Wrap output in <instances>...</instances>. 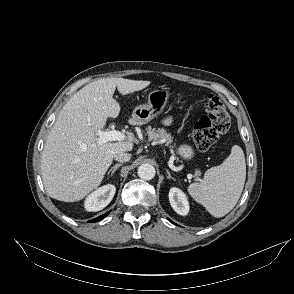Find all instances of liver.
Masks as SVG:
<instances>
[{
  "label": "liver",
  "instance_id": "obj_1",
  "mask_svg": "<svg viewBox=\"0 0 294 294\" xmlns=\"http://www.w3.org/2000/svg\"><path fill=\"white\" fill-rule=\"evenodd\" d=\"M150 81L103 78L89 83L64 105L47 137L41 159L42 180L47 194L64 202L83 199L102 182L114 155L133 149L134 136L123 141L98 144L96 130L107 118H116L117 87L123 96L140 91Z\"/></svg>",
  "mask_w": 294,
  "mask_h": 294
}]
</instances>
